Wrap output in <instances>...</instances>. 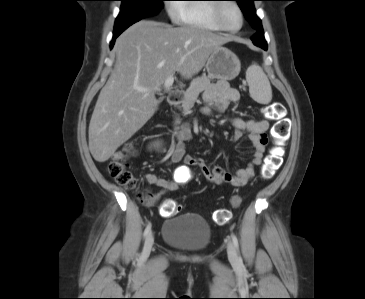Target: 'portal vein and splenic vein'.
I'll return each instance as SVG.
<instances>
[{
	"label": "portal vein and splenic vein",
	"mask_w": 365,
	"mask_h": 299,
	"mask_svg": "<svg viewBox=\"0 0 365 299\" xmlns=\"http://www.w3.org/2000/svg\"><path fill=\"white\" fill-rule=\"evenodd\" d=\"M174 83V77L173 75H171L170 77H168L166 80H165V83H164V86L166 88V90H170L172 85ZM139 91L141 92H147L148 90L147 89H139Z\"/></svg>",
	"instance_id": "1"
}]
</instances>
